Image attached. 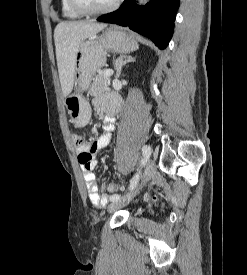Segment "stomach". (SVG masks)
<instances>
[{
  "label": "stomach",
  "mask_w": 247,
  "mask_h": 275,
  "mask_svg": "<svg viewBox=\"0 0 247 275\" xmlns=\"http://www.w3.org/2000/svg\"><path fill=\"white\" fill-rule=\"evenodd\" d=\"M137 49L135 38L115 26L108 28L98 39L90 37L81 42L75 61V91L65 99V106L76 127H84L90 120V106L82 92L90 87L96 70L105 65L107 51L130 53Z\"/></svg>",
  "instance_id": "0dacf381"
}]
</instances>
